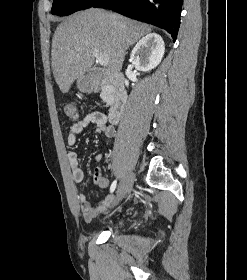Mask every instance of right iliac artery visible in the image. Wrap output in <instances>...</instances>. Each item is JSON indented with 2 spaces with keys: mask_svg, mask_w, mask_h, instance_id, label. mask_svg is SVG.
<instances>
[{
  "mask_svg": "<svg viewBox=\"0 0 247 280\" xmlns=\"http://www.w3.org/2000/svg\"><path fill=\"white\" fill-rule=\"evenodd\" d=\"M116 185H117V181L114 180V181L112 182V184H111V187H110V192H111V193L114 192V190H115V188H116Z\"/></svg>",
  "mask_w": 247,
  "mask_h": 280,
  "instance_id": "1",
  "label": "right iliac artery"
}]
</instances>
